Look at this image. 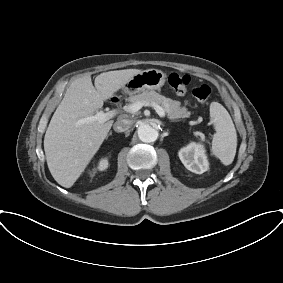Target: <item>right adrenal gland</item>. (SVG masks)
I'll return each instance as SVG.
<instances>
[{"label":"right adrenal gland","mask_w":283,"mask_h":283,"mask_svg":"<svg viewBox=\"0 0 283 283\" xmlns=\"http://www.w3.org/2000/svg\"><path fill=\"white\" fill-rule=\"evenodd\" d=\"M110 135H112V132H110L106 138H108Z\"/></svg>","instance_id":"right-adrenal-gland-1"}]
</instances>
